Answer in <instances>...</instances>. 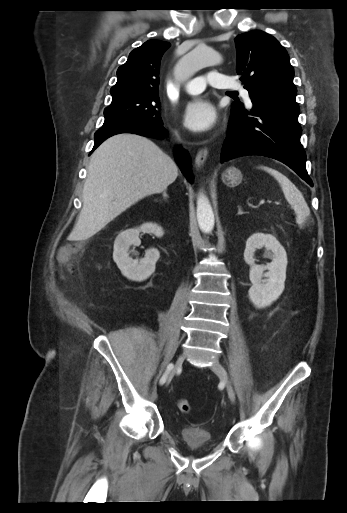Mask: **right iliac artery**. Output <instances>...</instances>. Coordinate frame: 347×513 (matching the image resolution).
Listing matches in <instances>:
<instances>
[{
	"label": "right iliac artery",
	"mask_w": 347,
	"mask_h": 513,
	"mask_svg": "<svg viewBox=\"0 0 347 513\" xmlns=\"http://www.w3.org/2000/svg\"><path fill=\"white\" fill-rule=\"evenodd\" d=\"M173 367H174V365L172 363H170L167 366L165 373L163 374V376L160 379V384H164L166 382L167 377H168L169 373L171 372V370L173 369Z\"/></svg>",
	"instance_id": "right-iliac-artery-1"
}]
</instances>
